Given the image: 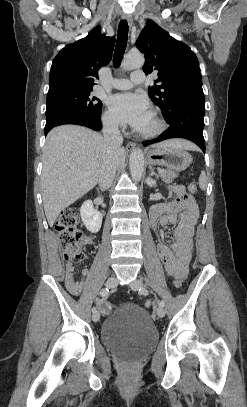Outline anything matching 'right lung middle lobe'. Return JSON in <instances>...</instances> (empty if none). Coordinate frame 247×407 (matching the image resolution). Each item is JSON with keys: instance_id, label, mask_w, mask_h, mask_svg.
<instances>
[{"instance_id": "right-lung-middle-lobe-1", "label": "right lung middle lobe", "mask_w": 247, "mask_h": 407, "mask_svg": "<svg viewBox=\"0 0 247 407\" xmlns=\"http://www.w3.org/2000/svg\"><path fill=\"white\" fill-rule=\"evenodd\" d=\"M91 92L92 88H60L48 92L46 116L65 111L99 115L102 103Z\"/></svg>"}]
</instances>
